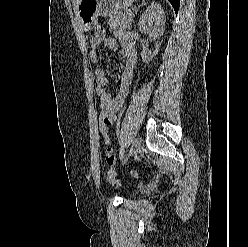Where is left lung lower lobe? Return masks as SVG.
I'll return each instance as SVG.
<instances>
[{
  "instance_id": "1",
  "label": "left lung lower lobe",
  "mask_w": 248,
  "mask_h": 247,
  "mask_svg": "<svg viewBox=\"0 0 248 247\" xmlns=\"http://www.w3.org/2000/svg\"><path fill=\"white\" fill-rule=\"evenodd\" d=\"M169 2L172 4V6L175 10V13H177L179 10L180 0H169Z\"/></svg>"
}]
</instances>
